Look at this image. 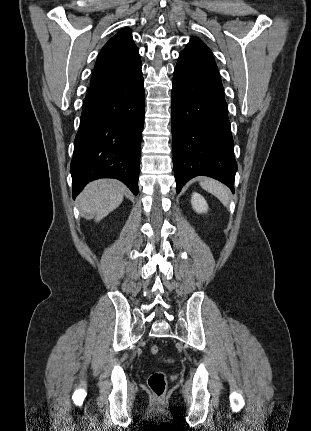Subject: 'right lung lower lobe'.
Here are the masks:
<instances>
[{
	"instance_id": "98d812e1",
	"label": "right lung lower lobe",
	"mask_w": 311,
	"mask_h": 431,
	"mask_svg": "<svg viewBox=\"0 0 311 431\" xmlns=\"http://www.w3.org/2000/svg\"><path fill=\"white\" fill-rule=\"evenodd\" d=\"M144 110L141 64L125 77L90 86L74 141L73 198L103 177L119 179L138 194Z\"/></svg>"
}]
</instances>
